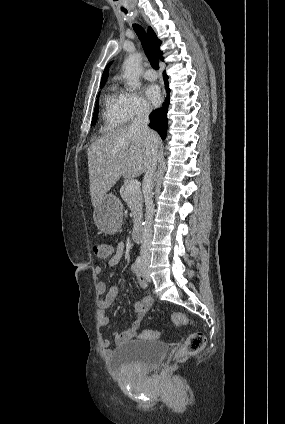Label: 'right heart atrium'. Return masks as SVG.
<instances>
[{"instance_id": "d8ad5b80", "label": "right heart atrium", "mask_w": 285, "mask_h": 424, "mask_svg": "<svg viewBox=\"0 0 285 424\" xmlns=\"http://www.w3.org/2000/svg\"><path fill=\"white\" fill-rule=\"evenodd\" d=\"M121 100L126 122L133 121L150 113V105L137 92H122Z\"/></svg>"}]
</instances>
